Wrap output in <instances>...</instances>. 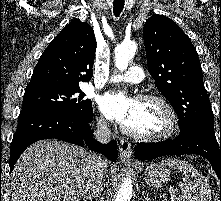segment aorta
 Masks as SVG:
<instances>
[{"label": "aorta", "mask_w": 221, "mask_h": 201, "mask_svg": "<svg viewBox=\"0 0 221 201\" xmlns=\"http://www.w3.org/2000/svg\"><path fill=\"white\" fill-rule=\"evenodd\" d=\"M137 45L134 41L123 42L115 49V64L120 71H124L128 67L129 61L134 57ZM132 180L126 177L121 184L119 191L115 197V201H130L132 196Z\"/></svg>", "instance_id": "obj_1"}]
</instances>
